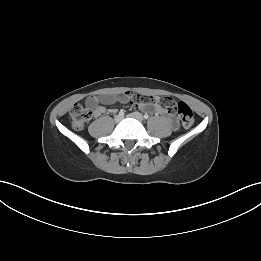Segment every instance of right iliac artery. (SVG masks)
<instances>
[{
    "mask_svg": "<svg viewBox=\"0 0 261 261\" xmlns=\"http://www.w3.org/2000/svg\"><path fill=\"white\" fill-rule=\"evenodd\" d=\"M124 113H125L124 110H120L119 115L124 116Z\"/></svg>",
    "mask_w": 261,
    "mask_h": 261,
    "instance_id": "obj_1",
    "label": "right iliac artery"
}]
</instances>
